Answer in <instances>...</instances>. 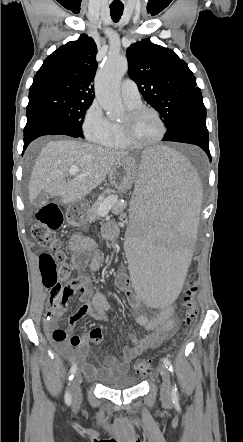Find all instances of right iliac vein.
Wrapping results in <instances>:
<instances>
[{"mask_svg":"<svg viewBox=\"0 0 243 442\" xmlns=\"http://www.w3.org/2000/svg\"><path fill=\"white\" fill-rule=\"evenodd\" d=\"M81 383H82V375L80 372H77L75 374L71 386L72 402L74 406H78L82 400Z\"/></svg>","mask_w":243,"mask_h":442,"instance_id":"obj_1","label":"right iliac vein"}]
</instances>
